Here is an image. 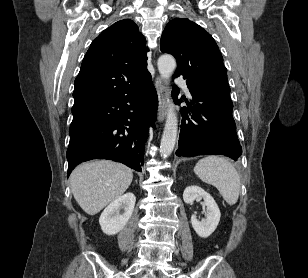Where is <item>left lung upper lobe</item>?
Returning <instances> with one entry per match:
<instances>
[{
    "label": "left lung upper lobe",
    "instance_id": "obj_1",
    "mask_svg": "<svg viewBox=\"0 0 308 278\" xmlns=\"http://www.w3.org/2000/svg\"><path fill=\"white\" fill-rule=\"evenodd\" d=\"M160 49L176 58L178 66L173 77H183L188 88L227 77L223 57L212 36L187 18H176L167 24Z\"/></svg>",
    "mask_w": 308,
    "mask_h": 278
}]
</instances>
